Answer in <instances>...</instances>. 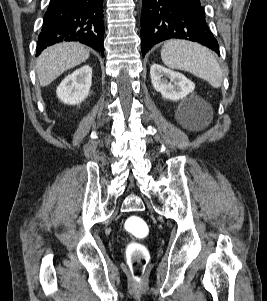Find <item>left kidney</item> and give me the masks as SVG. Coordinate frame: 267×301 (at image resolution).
Segmentation results:
<instances>
[{"label":"left kidney","mask_w":267,"mask_h":301,"mask_svg":"<svg viewBox=\"0 0 267 301\" xmlns=\"http://www.w3.org/2000/svg\"><path fill=\"white\" fill-rule=\"evenodd\" d=\"M150 77L154 89L160 92L164 99L171 101L183 99L195 89V84L183 74L159 64L151 66Z\"/></svg>","instance_id":"1"}]
</instances>
